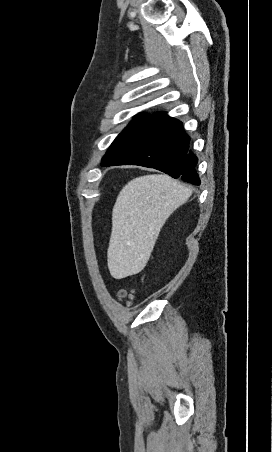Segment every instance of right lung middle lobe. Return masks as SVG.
I'll return each mask as SVG.
<instances>
[{"label":"right lung middle lobe","instance_id":"1","mask_svg":"<svg viewBox=\"0 0 272 452\" xmlns=\"http://www.w3.org/2000/svg\"><path fill=\"white\" fill-rule=\"evenodd\" d=\"M159 115L139 114L134 120L118 135L109 147L102 160V166H111L117 161L131 146H133L154 124Z\"/></svg>","mask_w":272,"mask_h":452}]
</instances>
